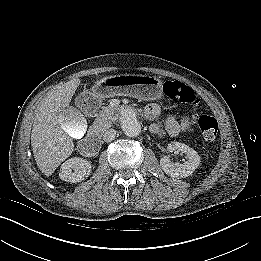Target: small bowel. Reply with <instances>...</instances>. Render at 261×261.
I'll return each instance as SVG.
<instances>
[{
    "label": "small bowel",
    "mask_w": 261,
    "mask_h": 261,
    "mask_svg": "<svg viewBox=\"0 0 261 261\" xmlns=\"http://www.w3.org/2000/svg\"><path fill=\"white\" fill-rule=\"evenodd\" d=\"M145 114L149 117H157L160 114V107L156 103L149 104L145 109ZM189 126V119L187 116H183L180 120H177L173 116H168L165 120L164 132L169 137H176L179 134L185 132ZM150 131L153 134L160 135L163 133L162 127L154 123L150 126Z\"/></svg>",
    "instance_id": "small-bowel-1"
}]
</instances>
